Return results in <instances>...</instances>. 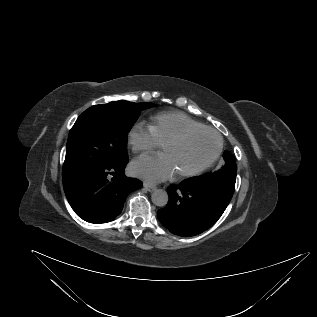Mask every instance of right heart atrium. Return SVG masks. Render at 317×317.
<instances>
[{"label":"right heart atrium","mask_w":317,"mask_h":317,"mask_svg":"<svg viewBox=\"0 0 317 317\" xmlns=\"http://www.w3.org/2000/svg\"><path fill=\"white\" fill-rule=\"evenodd\" d=\"M127 142L134 152H148L160 144L153 135L150 126L137 122L127 133Z\"/></svg>","instance_id":"d8ad5b80"}]
</instances>
